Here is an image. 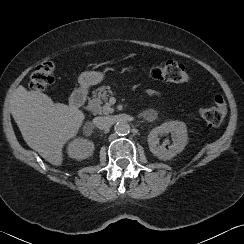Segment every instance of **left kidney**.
Segmentation results:
<instances>
[{
    "label": "left kidney",
    "instance_id": "1",
    "mask_svg": "<svg viewBox=\"0 0 244 244\" xmlns=\"http://www.w3.org/2000/svg\"><path fill=\"white\" fill-rule=\"evenodd\" d=\"M173 134V143L168 149L158 145L159 136L168 133ZM148 145L151 153L162 160H169L181 153L188 142L187 126L182 121H169L153 128L148 134Z\"/></svg>",
    "mask_w": 244,
    "mask_h": 244
}]
</instances>
